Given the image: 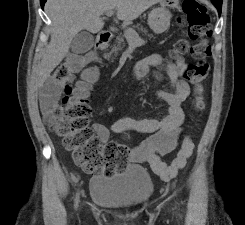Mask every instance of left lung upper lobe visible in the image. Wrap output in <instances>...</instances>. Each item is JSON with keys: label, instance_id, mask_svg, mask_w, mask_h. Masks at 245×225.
<instances>
[{"label": "left lung upper lobe", "instance_id": "1", "mask_svg": "<svg viewBox=\"0 0 245 225\" xmlns=\"http://www.w3.org/2000/svg\"><path fill=\"white\" fill-rule=\"evenodd\" d=\"M212 3L216 6L219 15L221 14V10H222V0H211Z\"/></svg>", "mask_w": 245, "mask_h": 225}]
</instances>
